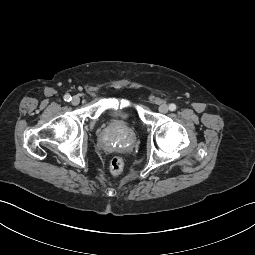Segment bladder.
Here are the masks:
<instances>
[{"label": "bladder", "instance_id": "obj_1", "mask_svg": "<svg viewBox=\"0 0 255 255\" xmlns=\"http://www.w3.org/2000/svg\"><path fill=\"white\" fill-rule=\"evenodd\" d=\"M112 114H126L129 115V111L125 107H113L110 109Z\"/></svg>", "mask_w": 255, "mask_h": 255}]
</instances>
